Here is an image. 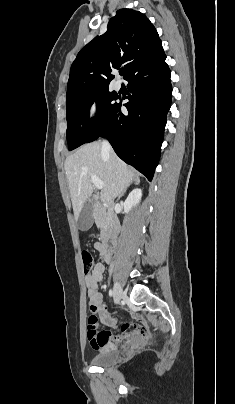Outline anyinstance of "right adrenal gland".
<instances>
[{"mask_svg": "<svg viewBox=\"0 0 235 404\" xmlns=\"http://www.w3.org/2000/svg\"><path fill=\"white\" fill-rule=\"evenodd\" d=\"M140 183V179L137 177L134 179V184L138 185ZM125 193V191L123 193H121V195L119 197H121L123 194Z\"/></svg>", "mask_w": 235, "mask_h": 404, "instance_id": "obj_1", "label": "right adrenal gland"}]
</instances>
